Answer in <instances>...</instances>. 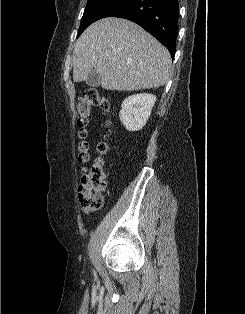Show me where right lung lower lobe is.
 I'll return each instance as SVG.
<instances>
[{
	"instance_id": "obj_1",
	"label": "right lung lower lobe",
	"mask_w": 245,
	"mask_h": 314,
	"mask_svg": "<svg viewBox=\"0 0 245 314\" xmlns=\"http://www.w3.org/2000/svg\"><path fill=\"white\" fill-rule=\"evenodd\" d=\"M105 17L125 18L137 23L174 56L178 34V0H126Z\"/></svg>"
}]
</instances>
